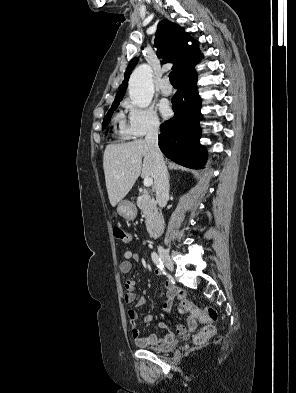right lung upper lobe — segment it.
Wrapping results in <instances>:
<instances>
[{
	"mask_svg": "<svg viewBox=\"0 0 296 393\" xmlns=\"http://www.w3.org/2000/svg\"><path fill=\"white\" fill-rule=\"evenodd\" d=\"M155 47L157 48V56L163 59L164 63L172 62L173 68L177 75L189 66L198 54L197 41H194L193 45H188V41L191 40L188 33L185 32L184 28L179 25L172 23L168 20H162L155 34ZM138 58H134L130 61L126 72L124 73V80L119 86L118 93L114 101L122 100L129 76L132 69L137 64Z\"/></svg>",
	"mask_w": 296,
	"mask_h": 393,
	"instance_id": "right-lung-upper-lobe-1",
	"label": "right lung upper lobe"
}]
</instances>
